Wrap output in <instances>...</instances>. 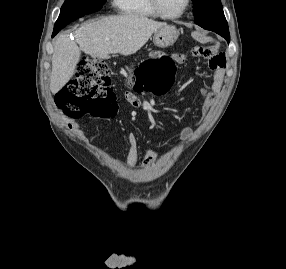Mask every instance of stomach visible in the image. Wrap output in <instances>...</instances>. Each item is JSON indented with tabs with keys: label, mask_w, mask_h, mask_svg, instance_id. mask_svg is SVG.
<instances>
[{
	"label": "stomach",
	"mask_w": 286,
	"mask_h": 269,
	"mask_svg": "<svg viewBox=\"0 0 286 269\" xmlns=\"http://www.w3.org/2000/svg\"><path fill=\"white\" fill-rule=\"evenodd\" d=\"M179 31L175 26L165 25L154 32L153 42L157 47H168L178 39Z\"/></svg>",
	"instance_id": "1"
}]
</instances>
